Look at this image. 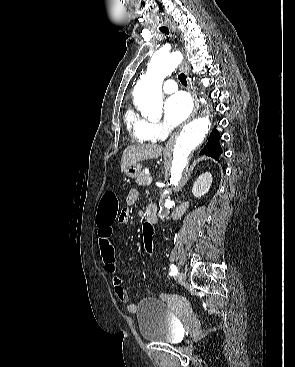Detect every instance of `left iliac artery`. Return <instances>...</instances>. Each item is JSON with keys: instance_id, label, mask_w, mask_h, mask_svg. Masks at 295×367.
Masks as SVG:
<instances>
[{"instance_id": "1", "label": "left iliac artery", "mask_w": 295, "mask_h": 367, "mask_svg": "<svg viewBox=\"0 0 295 367\" xmlns=\"http://www.w3.org/2000/svg\"><path fill=\"white\" fill-rule=\"evenodd\" d=\"M177 267L174 264H170V275L176 276L177 275Z\"/></svg>"}]
</instances>
